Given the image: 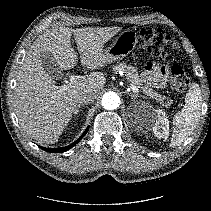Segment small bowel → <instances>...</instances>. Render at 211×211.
Instances as JSON below:
<instances>
[{
    "instance_id": "obj_1",
    "label": "small bowel",
    "mask_w": 211,
    "mask_h": 211,
    "mask_svg": "<svg viewBox=\"0 0 211 211\" xmlns=\"http://www.w3.org/2000/svg\"><path fill=\"white\" fill-rule=\"evenodd\" d=\"M143 76L148 83L154 87L161 88L167 82L168 72L164 66L150 62L146 65Z\"/></svg>"
}]
</instances>
